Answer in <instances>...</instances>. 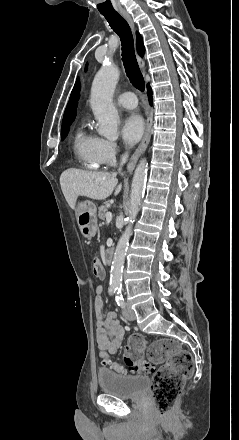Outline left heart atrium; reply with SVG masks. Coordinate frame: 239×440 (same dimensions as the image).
<instances>
[{
    "label": "left heart atrium",
    "mask_w": 239,
    "mask_h": 440,
    "mask_svg": "<svg viewBox=\"0 0 239 440\" xmlns=\"http://www.w3.org/2000/svg\"><path fill=\"white\" fill-rule=\"evenodd\" d=\"M143 129L142 118L136 113L124 115L119 122L120 134L127 144L136 143L142 136Z\"/></svg>",
    "instance_id": "1"
}]
</instances>
